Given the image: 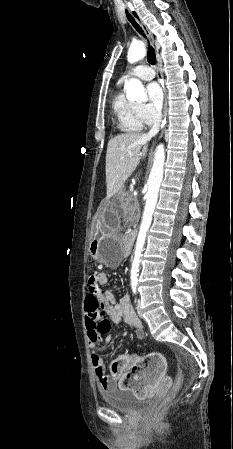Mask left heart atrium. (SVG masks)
<instances>
[{
  "label": "left heart atrium",
  "instance_id": "left-heart-atrium-1",
  "mask_svg": "<svg viewBox=\"0 0 233 449\" xmlns=\"http://www.w3.org/2000/svg\"><path fill=\"white\" fill-rule=\"evenodd\" d=\"M146 91H147L148 97H149L150 101L152 102V104L155 107L160 108L162 105L163 96H164L161 86L156 82H152L147 85Z\"/></svg>",
  "mask_w": 233,
  "mask_h": 449
}]
</instances>
